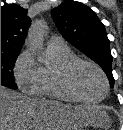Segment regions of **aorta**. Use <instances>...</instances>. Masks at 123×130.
Listing matches in <instances>:
<instances>
[{
    "label": "aorta",
    "instance_id": "1",
    "mask_svg": "<svg viewBox=\"0 0 123 130\" xmlns=\"http://www.w3.org/2000/svg\"><path fill=\"white\" fill-rule=\"evenodd\" d=\"M45 30V23L36 21L28 31L27 40L30 48L39 54V60L47 65L50 63V59L44 55L43 41Z\"/></svg>",
    "mask_w": 123,
    "mask_h": 130
}]
</instances>
